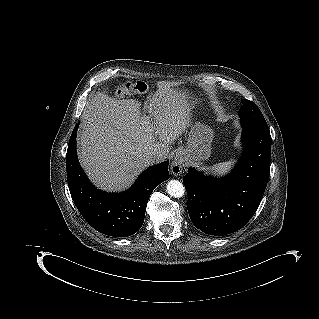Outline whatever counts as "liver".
<instances>
[{"mask_svg":"<svg viewBox=\"0 0 319 319\" xmlns=\"http://www.w3.org/2000/svg\"><path fill=\"white\" fill-rule=\"evenodd\" d=\"M171 86L158 85L144 105L148 116L135 99L118 100L100 91L87 104L77 137L78 157L96 186L125 189L151 165V154L168 156L169 145L190 126L196 104L188 93Z\"/></svg>","mask_w":319,"mask_h":319,"instance_id":"liver-1","label":"liver"}]
</instances>
